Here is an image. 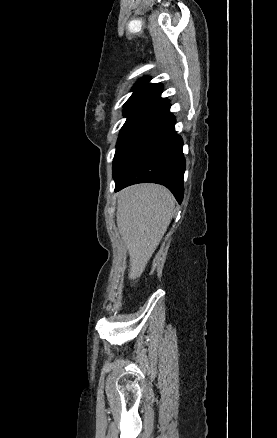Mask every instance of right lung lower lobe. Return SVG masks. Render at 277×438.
Masks as SVG:
<instances>
[{
    "instance_id": "right-lung-lower-lobe-1",
    "label": "right lung lower lobe",
    "mask_w": 277,
    "mask_h": 438,
    "mask_svg": "<svg viewBox=\"0 0 277 438\" xmlns=\"http://www.w3.org/2000/svg\"><path fill=\"white\" fill-rule=\"evenodd\" d=\"M175 117L169 112L161 127L133 161L121 179L115 181V191L136 183H158L166 186L181 203L185 158L183 141L176 133Z\"/></svg>"
}]
</instances>
